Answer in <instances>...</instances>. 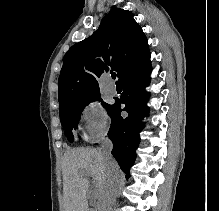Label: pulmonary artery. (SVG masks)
Listing matches in <instances>:
<instances>
[{
  "mask_svg": "<svg viewBox=\"0 0 219 211\" xmlns=\"http://www.w3.org/2000/svg\"><path fill=\"white\" fill-rule=\"evenodd\" d=\"M107 91L110 95L115 96L117 94V89L115 84L113 83L112 79L109 78L108 79V87H107Z\"/></svg>",
  "mask_w": 219,
  "mask_h": 211,
  "instance_id": "pulmonary-artery-1",
  "label": "pulmonary artery"
}]
</instances>
